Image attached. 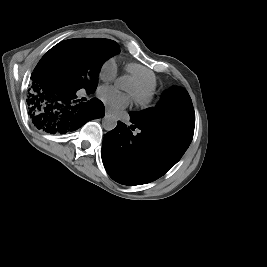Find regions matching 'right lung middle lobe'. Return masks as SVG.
<instances>
[{
	"instance_id": "1",
	"label": "right lung middle lobe",
	"mask_w": 267,
	"mask_h": 267,
	"mask_svg": "<svg viewBox=\"0 0 267 267\" xmlns=\"http://www.w3.org/2000/svg\"><path fill=\"white\" fill-rule=\"evenodd\" d=\"M116 42L100 38H76L62 41L51 48L39 61L41 68L63 78L75 90L94 92L103 63L119 54Z\"/></svg>"
}]
</instances>
